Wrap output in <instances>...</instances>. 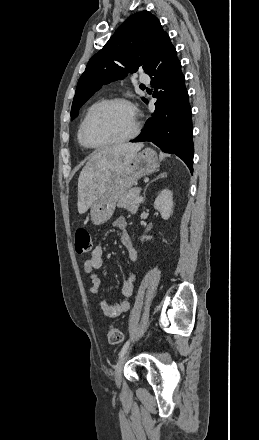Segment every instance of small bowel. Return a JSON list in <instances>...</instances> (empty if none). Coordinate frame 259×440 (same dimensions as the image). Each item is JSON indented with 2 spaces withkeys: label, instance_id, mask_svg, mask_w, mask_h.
I'll use <instances>...</instances> for the list:
<instances>
[{
  "label": "small bowel",
  "instance_id": "c3829d8e",
  "mask_svg": "<svg viewBox=\"0 0 259 440\" xmlns=\"http://www.w3.org/2000/svg\"><path fill=\"white\" fill-rule=\"evenodd\" d=\"M114 226L118 228L121 232L120 242L124 247L127 258L130 262H136L138 259V253L136 248L134 247L129 234L126 231L127 222L124 217H119L114 221ZM103 266V247L98 245L94 247L91 252L90 258L84 260L82 264L83 271L89 275L91 281L90 292L93 296H96L98 293L101 279L95 272L96 270L101 269ZM135 284V275L133 273H129L127 277L123 280L121 286V293L123 295V299L118 303H109L105 300H99L98 305L103 312V314L107 317L114 318L122 313L126 312L130 307V297L133 294Z\"/></svg>",
  "mask_w": 259,
  "mask_h": 440
}]
</instances>
